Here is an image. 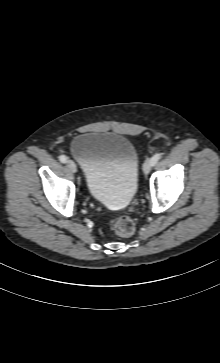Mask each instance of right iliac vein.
I'll return each instance as SVG.
<instances>
[{
  "label": "right iliac vein",
  "instance_id": "63e3f726",
  "mask_svg": "<svg viewBox=\"0 0 220 363\" xmlns=\"http://www.w3.org/2000/svg\"><path fill=\"white\" fill-rule=\"evenodd\" d=\"M67 167L69 168V170L73 173H76L77 172V166L75 164L74 161L72 160H68L67 163H66Z\"/></svg>",
  "mask_w": 220,
  "mask_h": 363
}]
</instances>
